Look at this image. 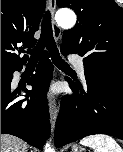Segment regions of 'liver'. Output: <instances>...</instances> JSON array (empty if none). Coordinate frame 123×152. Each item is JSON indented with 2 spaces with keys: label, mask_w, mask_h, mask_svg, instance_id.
Segmentation results:
<instances>
[{
  "label": "liver",
  "mask_w": 123,
  "mask_h": 152,
  "mask_svg": "<svg viewBox=\"0 0 123 152\" xmlns=\"http://www.w3.org/2000/svg\"><path fill=\"white\" fill-rule=\"evenodd\" d=\"M27 144L18 137L1 134V152H27Z\"/></svg>",
  "instance_id": "6515ba94"
}]
</instances>
